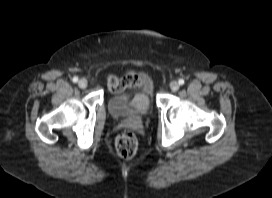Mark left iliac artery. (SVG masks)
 I'll use <instances>...</instances> for the list:
<instances>
[{
    "instance_id": "44dca946",
    "label": "left iliac artery",
    "mask_w": 272,
    "mask_h": 198,
    "mask_svg": "<svg viewBox=\"0 0 272 198\" xmlns=\"http://www.w3.org/2000/svg\"><path fill=\"white\" fill-rule=\"evenodd\" d=\"M178 82H179L180 85H183V84H184V80H183V79H179Z\"/></svg>"
}]
</instances>
